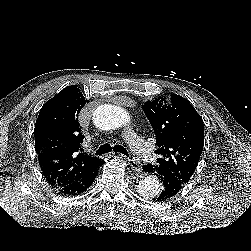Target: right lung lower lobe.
<instances>
[{
	"label": "right lung lower lobe",
	"mask_w": 251,
	"mask_h": 251,
	"mask_svg": "<svg viewBox=\"0 0 251 251\" xmlns=\"http://www.w3.org/2000/svg\"><path fill=\"white\" fill-rule=\"evenodd\" d=\"M104 163L102 160L100 166ZM100 166L87 176L79 180H73L69 182H64L56 185H51L58 193L66 196L78 195L84 192L94 181L95 176L98 173Z\"/></svg>",
	"instance_id": "1"
}]
</instances>
